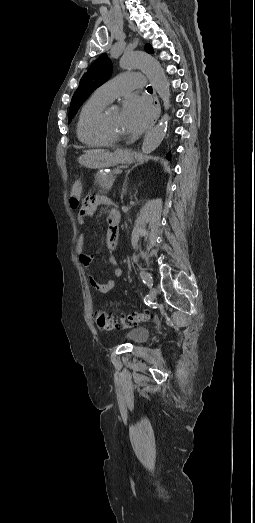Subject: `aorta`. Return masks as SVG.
I'll return each mask as SVG.
<instances>
[{"mask_svg":"<svg viewBox=\"0 0 255 523\" xmlns=\"http://www.w3.org/2000/svg\"><path fill=\"white\" fill-rule=\"evenodd\" d=\"M120 66L123 69H141L163 100L164 108L170 107V85L163 68L156 59L144 52H131L121 58ZM168 121L169 116L163 115L159 123L145 136L141 146L143 154L153 152L160 145L166 135Z\"/></svg>","mask_w":255,"mask_h":523,"instance_id":"1","label":"aorta"}]
</instances>
